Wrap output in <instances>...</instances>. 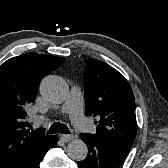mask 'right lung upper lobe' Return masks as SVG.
<instances>
[{
  "label": "right lung upper lobe",
  "mask_w": 168,
  "mask_h": 168,
  "mask_svg": "<svg viewBox=\"0 0 168 168\" xmlns=\"http://www.w3.org/2000/svg\"><path fill=\"white\" fill-rule=\"evenodd\" d=\"M65 59L42 54L13 57L0 66V168H26L53 136L26 130L25 109L34 102L42 78Z\"/></svg>",
  "instance_id": "cb5924a9"
}]
</instances>
